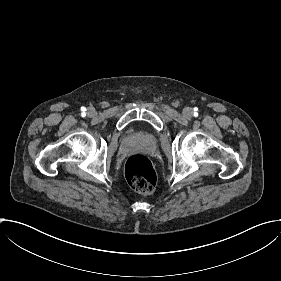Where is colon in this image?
<instances>
[{"mask_svg": "<svg viewBox=\"0 0 281 281\" xmlns=\"http://www.w3.org/2000/svg\"><path fill=\"white\" fill-rule=\"evenodd\" d=\"M124 173L131 188L147 192L157 183V176L151 162L142 155H131L125 162Z\"/></svg>", "mask_w": 281, "mask_h": 281, "instance_id": "colon-1", "label": "colon"}]
</instances>
